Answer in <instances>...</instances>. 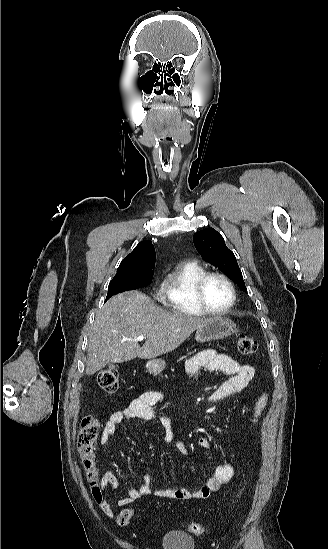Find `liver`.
<instances>
[{"label": "liver", "instance_id": "obj_1", "mask_svg": "<svg viewBox=\"0 0 328 549\" xmlns=\"http://www.w3.org/2000/svg\"><path fill=\"white\" fill-rule=\"evenodd\" d=\"M209 319L166 311L141 291L115 295L97 311L90 329L86 375H94L107 363L155 359L175 351ZM144 335L145 343L129 341Z\"/></svg>", "mask_w": 328, "mask_h": 549}]
</instances>
